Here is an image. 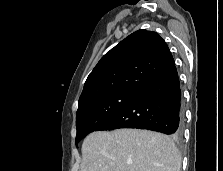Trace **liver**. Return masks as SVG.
Here are the masks:
<instances>
[{"mask_svg": "<svg viewBox=\"0 0 223 171\" xmlns=\"http://www.w3.org/2000/svg\"><path fill=\"white\" fill-rule=\"evenodd\" d=\"M82 158L81 171H180L182 163L170 137L141 129L93 132Z\"/></svg>", "mask_w": 223, "mask_h": 171, "instance_id": "1", "label": "liver"}]
</instances>
